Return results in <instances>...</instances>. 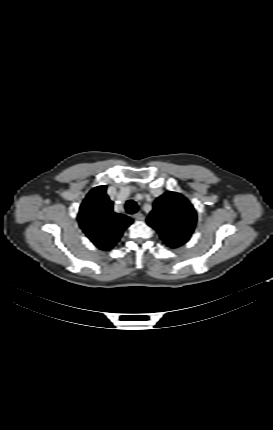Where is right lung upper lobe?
Returning <instances> with one entry per match:
<instances>
[{
    "mask_svg": "<svg viewBox=\"0 0 273 430\" xmlns=\"http://www.w3.org/2000/svg\"><path fill=\"white\" fill-rule=\"evenodd\" d=\"M105 191L106 186L93 188L82 202L77 216L83 232L104 251L111 249L133 222L126 215L113 212V202Z\"/></svg>",
    "mask_w": 273,
    "mask_h": 430,
    "instance_id": "cb5924a9",
    "label": "right lung upper lobe"
}]
</instances>
